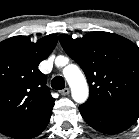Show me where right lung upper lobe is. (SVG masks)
Segmentation results:
<instances>
[{"label":"right lung upper lobe","mask_w":139,"mask_h":139,"mask_svg":"<svg viewBox=\"0 0 139 139\" xmlns=\"http://www.w3.org/2000/svg\"><path fill=\"white\" fill-rule=\"evenodd\" d=\"M58 42L48 35L33 43L25 36L0 42V132L6 136L53 109L55 99L38 69Z\"/></svg>","instance_id":"1"}]
</instances>
